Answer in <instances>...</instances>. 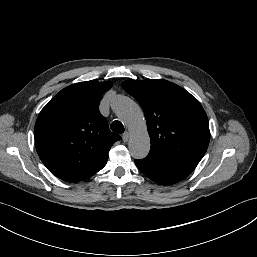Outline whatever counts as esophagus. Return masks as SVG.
<instances>
[{
    "mask_svg": "<svg viewBox=\"0 0 257 257\" xmlns=\"http://www.w3.org/2000/svg\"><path fill=\"white\" fill-rule=\"evenodd\" d=\"M122 140H123L124 142H127V141L129 140V133H128V132H125V133L123 134Z\"/></svg>",
    "mask_w": 257,
    "mask_h": 257,
    "instance_id": "34e87169",
    "label": "esophagus"
}]
</instances>
